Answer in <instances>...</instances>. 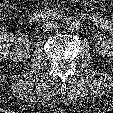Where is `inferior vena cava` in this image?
I'll return each mask as SVG.
<instances>
[{
    "mask_svg": "<svg viewBox=\"0 0 113 113\" xmlns=\"http://www.w3.org/2000/svg\"><path fill=\"white\" fill-rule=\"evenodd\" d=\"M58 26L59 24L56 21L51 20V21H46L45 23H43L42 29L43 31L48 32V31H52L58 28Z\"/></svg>",
    "mask_w": 113,
    "mask_h": 113,
    "instance_id": "obj_1",
    "label": "inferior vena cava"
}]
</instances>
